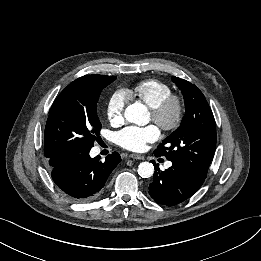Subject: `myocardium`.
<instances>
[{
	"label": "myocardium",
	"instance_id": "f54148a6",
	"mask_svg": "<svg viewBox=\"0 0 261 261\" xmlns=\"http://www.w3.org/2000/svg\"><path fill=\"white\" fill-rule=\"evenodd\" d=\"M184 116L182 98L171 93L157 107L151 109L152 120L164 131L178 128Z\"/></svg>",
	"mask_w": 261,
	"mask_h": 261
}]
</instances>
